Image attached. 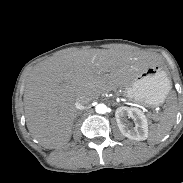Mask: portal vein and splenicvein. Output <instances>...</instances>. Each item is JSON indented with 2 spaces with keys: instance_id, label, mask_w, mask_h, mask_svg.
Listing matches in <instances>:
<instances>
[{
  "instance_id": "obj_1",
  "label": "portal vein and splenic vein",
  "mask_w": 183,
  "mask_h": 183,
  "mask_svg": "<svg viewBox=\"0 0 183 183\" xmlns=\"http://www.w3.org/2000/svg\"><path fill=\"white\" fill-rule=\"evenodd\" d=\"M144 111L148 112V110L144 109Z\"/></svg>"
}]
</instances>
